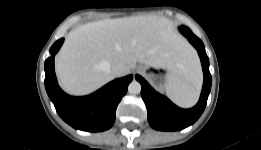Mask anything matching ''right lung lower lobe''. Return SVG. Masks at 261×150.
<instances>
[{"mask_svg": "<svg viewBox=\"0 0 261 150\" xmlns=\"http://www.w3.org/2000/svg\"><path fill=\"white\" fill-rule=\"evenodd\" d=\"M64 39L54 43L51 57L45 61V88L60 117L72 127L89 132L109 129L115 120L116 108L133 76L116 79L95 93L85 97H71L58 86L54 57Z\"/></svg>", "mask_w": 261, "mask_h": 150, "instance_id": "1", "label": "right lung lower lobe"}]
</instances>
